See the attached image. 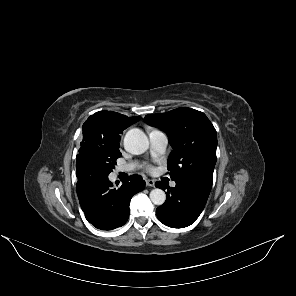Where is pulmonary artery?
Masks as SVG:
<instances>
[{
  "instance_id": "obj_1",
  "label": "pulmonary artery",
  "mask_w": 296,
  "mask_h": 296,
  "mask_svg": "<svg viewBox=\"0 0 296 296\" xmlns=\"http://www.w3.org/2000/svg\"><path fill=\"white\" fill-rule=\"evenodd\" d=\"M149 139H150V150L154 157H160L165 153V150L167 148L168 139L164 132L159 130H153L149 133ZM138 167V164L136 162L126 163L123 165H120L118 167V171L121 172H128L136 169ZM172 187L176 186L175 182L171 183Z\"/></svg>"
}]
</instances>
